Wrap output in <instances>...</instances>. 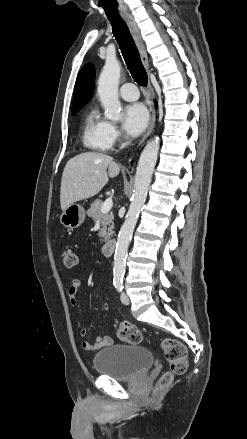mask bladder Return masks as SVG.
<instances>
[{"label":"bladder","instance_id":"1","mask_svg":"<svg viewBox=\"0 0 247 439\" xmlns=\"http://www.w3.org/2000/svg\"><path fill=\"white\" fill-rule=\"evenodd\" d=\"M153 360L152 353L144 347L113 344L94 356L93 365L101 375L118 381H133L149 370Z\"/></svg>","mask_w":247,"mask_h":439}]
</instances>
